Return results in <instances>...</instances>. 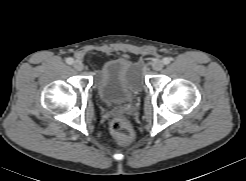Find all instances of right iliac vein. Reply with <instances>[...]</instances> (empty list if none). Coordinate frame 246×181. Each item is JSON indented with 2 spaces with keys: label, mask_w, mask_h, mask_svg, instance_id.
I'll return each instance as SVG.
<instances>
[{
  "label": "right iliac vein",
  "mask_w": 246,
  "mask_h": 181,
  "mask_svg": "<svg viewBox=\"0 0 246 181\" xmlns=\"http://www.w3.org/2000/svg\"><path fill=\"white\" fill-rule=\"evenodd\" d=\"M73 67L78 70V71H81L83 70V63L80 61V60H76L73 62Z\"/></svg>",
  "instance_id": "63e3f726"
}]
</instances>
